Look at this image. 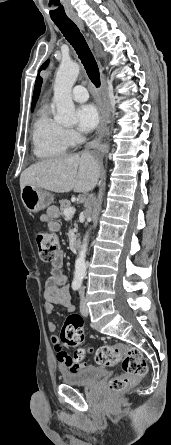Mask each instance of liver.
I'll return each instance as SVG.
<instances>
[{"label": "liver", "mask_w": 171, "mask_h": 445, "mask_svg": "<svg viewBox=\"0 0 171 445\" xmlns=\"http://www.w3.org/2000/svg\"><path fill=\"white\" fill-rule=\"evenodd\" d=\"M97 160L88 153L64 155L31 165L20 176V188L33 185L51 192L92 190L99 179Z\"/></svg>", "instance_id": "6515ba94"}]
</instances>
